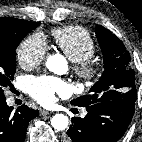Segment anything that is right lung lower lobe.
I'll list each match as a JSON object with an SVG mask.
<instances>
[{
    "label": "right lung lower lobe",
    "mask_w": 142,
    "mask_h": 142,
    "mask_svg": "<svg viewBox=\"0 0 142 142\" xmlns=\"http://www.w3.org/2000/svg\"><path fill=\"white\" fill-rule=\"evenodd\" d=\"M12 110L5 96L0 97V142H24L29 121L39 115L38 110L26 105L20 106L16 112Z\"/></svg>",
    "instance_id": "1"
}]
</instances>
